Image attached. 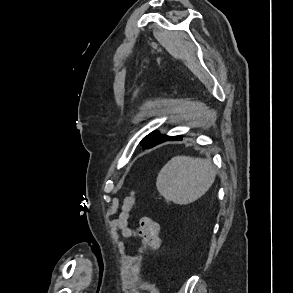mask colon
Wrapping results in <instances>:
<instances>
[{
  "label": "colon",
  "instance_id": "5ec220e1",
  "mask_svg": "<svg viewBox=\"0 0 293 293\" xmlns=\"http://www.w3.org/2000/svg\"><path fill=\"white\" fill-rule=\"evenodd\" d=\"M137 195L135 192H130L123 200L121 213L118 218V223L127 236L138 234L142 237V246L140 254L143 255L149 250H156L160 245L159 226L151 218H143L140 220L136 230L131 229L127 225V219L136 204Z\"/></svg>",
  "mask_w": 293,
  "mask_h": 293
}]
</instances>
